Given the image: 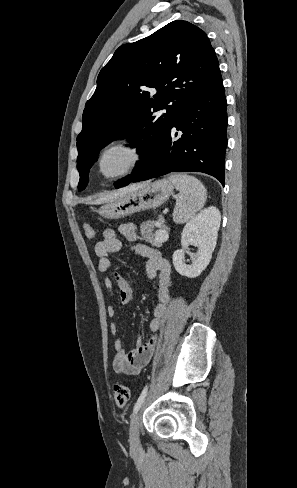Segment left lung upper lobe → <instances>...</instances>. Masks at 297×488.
<instances>
[{"instance_id":"obj_1","label":"left lung upper lobe","mask_w":297,"mask_h":488,"mask_svg":"<svg viewBox=\"0 0 297 488\" xmlns=\"http://www.w3.org/2000/svg\"><path fill=\"white\" fill-rule=\"evenodd\" d=\"M219 74L207 35L186 21H173L120 46L101 69L95 93L85 105L83 129L77 136L78 190L87 186L100 149L112 140L129 138L139 143L144 158L116 188L123 186L151 161L180 113Z\"/></svg>"}]
</instances>
